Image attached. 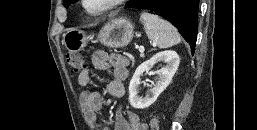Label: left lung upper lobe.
<instances>
[{
	"label": "left lung upper lobe",
	"instance_id": "5c2ea615",
	"mask_svg": "<svg viewBox=\"0 0 257 130\" xmlns=\"http://www.w3.org/2000/svg\"><path fill=\"white\" fill-rule=\"evenodd\" d=\"M75 0H63V2H64V6L66 7V8H68V6L71 4V3H73ZM139 2V0H130L128 3H127V5L128 6H133V5H135V4H137Z\"/></svg>",
	"mask_w": 257,
	"mask_h": 130
}]
</instances>
